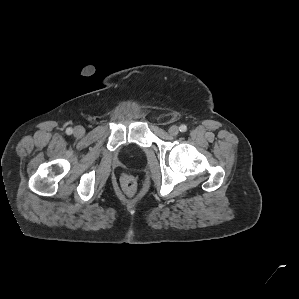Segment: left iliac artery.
<instances>
[{
	"mask_svg": "<svg viewBox=\"0 0 299 299\" xmlns=\"http://www.w3.org/2000/svg\"><path fill=\"white\" fill-rule=\"evenodd\" d=\"M180 131L181 132H186L187 131V126L182 124L180 127H179Z\"/></svg>",
	"mask_w": 299,
	"mask_h": 299,
	"instance_id": "44dca946",
	"label": "left iliac artery"
}]
</instances>
